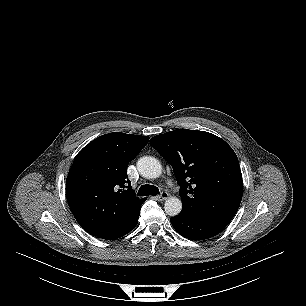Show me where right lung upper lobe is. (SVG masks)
<instances>
[{"label": "right lung upper lobe", "instance_id": "cb5924a9", "mask_svg": "<svg viewBox=\"0 0 306 306\" xmlns=\"http://www.w3.org/2000/svg\"><path fill=\"white\" fill-rule=\"evenodd\" d=\"M149 137L113 132L85 146L66 180L69 207L82 228L112 240L131 222L146 198L139 199L127 179V165Z\"/></svg>", "mask_w": 306, "mask_h": 306}]
</instances>
